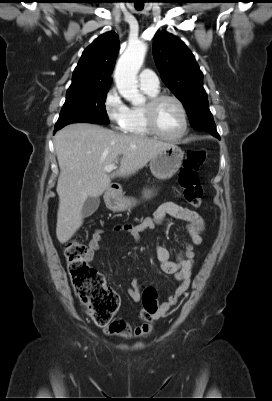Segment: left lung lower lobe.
Masks as SVG:
<instances>
[{
    "instance_id": "1",
    "label": "left lung lower lobe",
    "mask_w": 272,
    "mask_h": 401,
    "mask_svg": "<svg viewBox=\"0 0 272 401\" xmlns=\"http://www.w3.org/2000/svg\"><path fill=\"white\" fill-rule=\"evenodd\" d=\"M211 133H212L213 136H215V137L220 139V137H219V135H218V133L216 131H211Z\"/></svg>"
}]
</instances>
